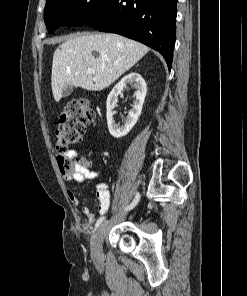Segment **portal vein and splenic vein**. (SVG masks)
<instances>
[{
    "instance_id": "1",
    "label": "portal vein and splenic vein",
    "mask_w": 247,
    "mask_h": 296,
    "mask_svg": "<svg viewBox=\"0 0 247 296\" xmlns=\"http://www.w3.org/2000/svg\"><path fill=\"white\" fill-rule=\"evenodd\" d=\"M87 72L93 74V73H95V70L93 68H88Z\"/></svg>"
}]
</instances>
